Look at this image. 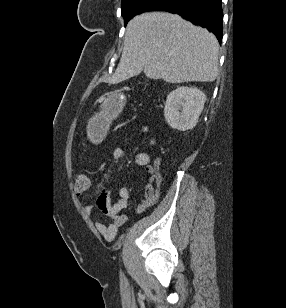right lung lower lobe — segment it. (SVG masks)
<instances>
[{"label": "right lung lower lobe", "mask_w": 286, "mask_h": 308, "mask_svg": "<svg viewBox=\"0 0 286 308\" xmlns=\"http://www.w3.org/2000/svg\"><path fill=\"white\" fill-rule=\"evenodd\" d=\"M153 11L178 14L196 25L209 29L220 43L222 41L221 0H168Z\"/></svg>", "instance_id": "98d812e1"}]
</instances>
